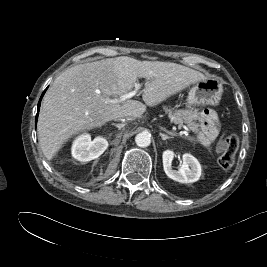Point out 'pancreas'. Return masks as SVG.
Masks as SVG:
<instances>
[{
	"instance_id": "obj_1",
	"label": "pancreas",
	"mask_w": 267,
	"mask_h": 267,
	"mask_svg": "<svg viewBox=\"0 0 267 267\" xmlns=\"http://www.w3.org/2000/svg\"><path fill=\"white\" fill-rule=\"evenodd\" d=\"M170 114V118L175 124H186L190 130L199 131V125L196 123L197 112L192 110H173V108L164 107Z\"/></svg>"
}]
</instances>
